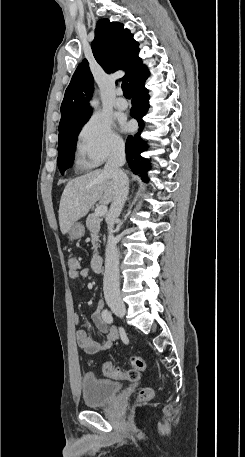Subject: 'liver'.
<instances>
[{"label":"liver","instance_id":"liver-1","mask_svg":"<svg viewBox=\"0 0 245 457\" xmlns=\"http://www.w3.org/2000/svg\"><path fill=\"white\" fill-rule=\"evenodd\" d=\"M114 196L115 184L103 168L69 180L63 190L58 210L61 233H68L70 226L81 216H85L97 200L102 204H109Z\"/></svg>","mask_w":245,"mask_h":457}]
</instances>
